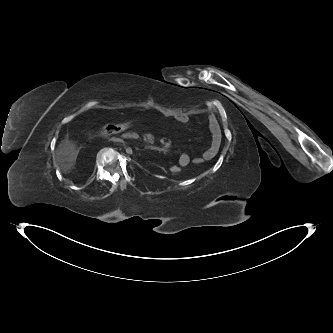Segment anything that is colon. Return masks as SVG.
<instances>
[{"instance_id": "colon-1", "label": "colon", "mask_w": 333, "mask_h": 333, "mask_svg": "<svg viewBox=\"0 0 333 333\" xmlns=\"http://www.w3.org/2000/svg\"><path fill=\"white\" fill-rule=\"evenodd\" d=\"M161 117V114L158 111H153L144 113V114H138L136 117L133 115H130L127 118V121H124L122 123H115V124H107L103 126L98 134L100 135H112L116 134L124 129L130 130L133 127V123L137 121L138 123L148 122L153 120H158ZM167 170L172 171L174 173L182 174L185 171V168L182 165H167Z\"/></svg>"}]
</instances>
